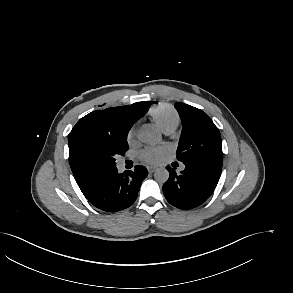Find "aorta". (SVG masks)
Segmentation results:
<instances>
[{
	"label": "aorta",
	"instance_id": "obj_1",
	"mask_svg": "<svg viewBox=\"0 0 293 293\" xmlns=\"http://www.w3.org/2000/svg\"><path fill=\"white\" fill-rule=\"evenodd\" d=\"M138 138L150 145H156L161 141L160 132L152 126L143 127L139 133ZM154 178L159 183H165L169 178V172L166 168H158L154 173Z\"/></svg>",
	"mask_w": 293,
	"mask_h": 293
}]
</instances>
